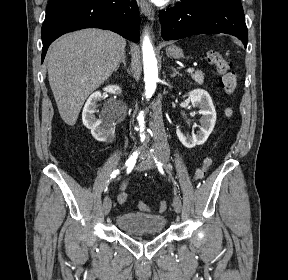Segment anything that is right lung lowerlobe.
Returning a JSON list of instances; mask_svg holds the SVG:
<instances>
[{"label":"right lung lower lobe","mask_w":288,"mask_h":280,"mask_svg":"<svg viewBox=\"0 0 288 280\" xmlns=\"http://www.w3.org/2000/svg\"><path fill=\"white\" fill-rule=\"evenodd\" d=\"M139 25V9L135 0H49L41 31V61L49 45L67 32L95 27L114 31L138 42Z\"/></svg>","instance_id":"right-lung-lower-lobe-1"}]
</instances>
